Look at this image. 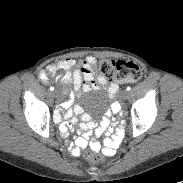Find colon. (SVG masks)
Here are the masks:
<instances>
[{
  "mask_svg": "<svg viewBox=\"0 0 183 183\" xmlns=\"http://www.w3.org/2000/svg\"><path fill=\"white\" fill-rule=\"evenodd\" d=\"M99 73L106 79L115 81L119 85L128 82H136L142 77L141 67L128 60L103 59L97 64ZM54 75L52 71L45 70L43 77L51 78ZM84 157L94 163H101L103 158L89 150L84 151Z\"/></svg>",
  "mask_w": 183,
  "mask_h": 183,
  "instance_id": "5ec220e1",
  "label": "colon"
}]
</instances>
